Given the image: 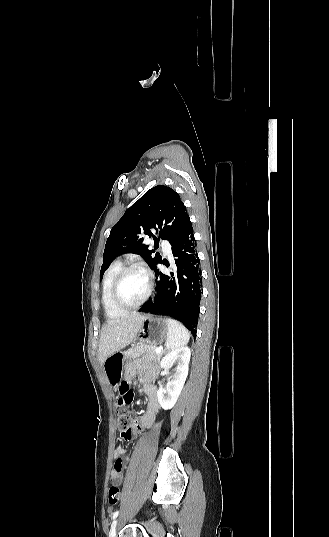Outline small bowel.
<instances>
[{
	"instance_id": "obj_1",
	"label": "small bowel",
	"mask_w": 329,
	"mask_h": 537,
	"mask_svg": "<svg viewBox=\"0 0 329 537\" xmlns=\"http://www.w3.org/2000/svg\"><path fill=\"white\" fill-rule=\"evenodd\" d=\"M139 375L140 380L143 382V392L148 397L147 410L143 416H141L133 425L128 433L122 431L120 436L125 441H133L145 428H150L155 421L157 411L159 409L158 391L149 383V380L153 377V372H150L146 368H139L137 365L129 364L126 370V377H121L119 381L118 402L122 406H130L134 402L135 392L132 390L134 384L133 377ZM126 450L117 446L114 450V467L111 472V480L117 484H120L123 480V469L129 462V458L125 457Z\"/></svg>"
}]
</instances>
